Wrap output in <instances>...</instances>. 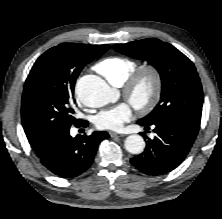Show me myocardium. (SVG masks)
I'll list each match as a JSON object with an SVG mask.
<instances>
[{"mask_svg":"<svg viewBox=\"0 0 222 219\" xmlns=\"http://www.w3.org/2000/svg\"><path fill=\"white\" fill-rule=\"evenodd\" d=\"M148 78L150 81V95L143 101L138 102L134 98V92L138 83ZM123 85V94L132 106L141 113L152 111L159 102L162 93L163 77L161 71L154 65L147 64L136 68L125 80Z\"/></svg>","mask_w":222,"mask_h":219,"instance_id":"obj_1","label":"myocardium"}]
</instances>
